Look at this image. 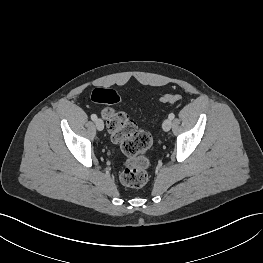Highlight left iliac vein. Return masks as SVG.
Listing matches in <instances>:
<instances>
[{
	"label": "left iliac vein",
	"instance_id": "obj_1",
	"mask_svg": "<svg viewBox=\"0 0 263 263\" xmlns=\"http://www.w3.org/2000/svg\"><path fill=\"white\" fill-rule=\"evenodd\" d=\"M171 126H172L171 119L168 118L163 121L162 128L164 131H169L171 129Z\"/></svg>",
	"mask_w": 263,
	"mask_h": 263
}]
</instances>
